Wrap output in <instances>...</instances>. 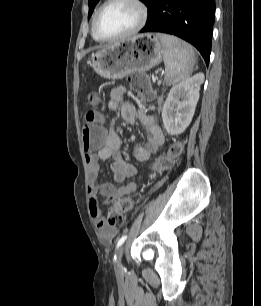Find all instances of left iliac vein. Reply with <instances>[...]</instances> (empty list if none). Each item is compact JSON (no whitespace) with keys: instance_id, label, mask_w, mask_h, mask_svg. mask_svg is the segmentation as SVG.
<instances>
[{"instance_id":"obj_1","label":"left iliac vein","mask_w":261,"mask_h":306,"mask_svg":"<svg viewBox=\"0 0 261 306\" xmlns=\"http://www.w3.org/2000/svg\"><path fill=\"white\" fill-rule=\"evenodd\" d=\"M123 250H124V247L121 246L118 250H117V253H116V266L117 267H120L121 265V260H122V255H123Z\"/></svg>"}]
</instances>
